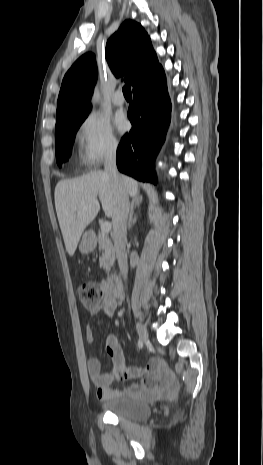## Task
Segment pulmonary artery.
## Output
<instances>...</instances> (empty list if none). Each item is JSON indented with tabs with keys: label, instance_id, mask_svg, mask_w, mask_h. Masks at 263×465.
<instances>
[{
	"label": "pulmonary artery",
	"instance_id": "1",
	"mask_svg": "<svg viewBox=\"0 0 263 465\" xmlns=\"http://www.w3.org/2000/svg\"><path fill=\"white\" fill-rule=\"evenodd\" d=\"M112 102L116 106H122L125 103V99L122 95L121 91H116L115 94L113 95Z\"/></svg>",
	"mask_w": 263,
	"mask_h": 465
}]
</instances>
